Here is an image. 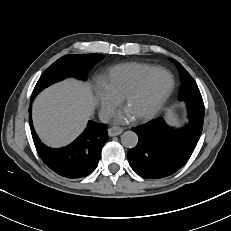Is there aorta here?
Segmentation results:
<instances>
[{
  "mask_svg": "<svg viewBox=\"0 0 231 231\" xmlns=\"http://www.w3.org/2000/svg\"><path fill=\"white\" fill-rule=\"evenodd\" d=\"M121 143L126 148H134L138 143V136L133 131H126L121 135Z\"/></svg>",
  "mask_w": 231,
  "mask_h": 231,
  "instance_id": "762f6f07",
  "label": "aorta"
}]
</instances>
